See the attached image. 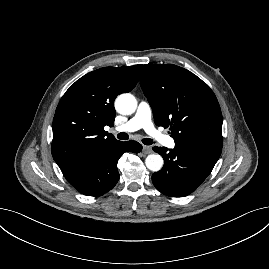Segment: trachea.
Listing matches in <instances>:
<instances>
[{"label": "trachea", "mask_w": 269, "mask_h": 269, "mask_svg": "<svg viewBox=\"0 0 269 269\" xmlns=\"http://www.w3.org/2000/svg\"><path fill=\"white\" fill-rule=\"evenodd\" d=\"M117 138L120 140H127L129 138V135L127 133L121 132L117 135ZM142 143L145 145H151L153 144V140L150 138H144L142 139Z\"/></svg>", "instance_id": "3493384b"}]
</instances>
